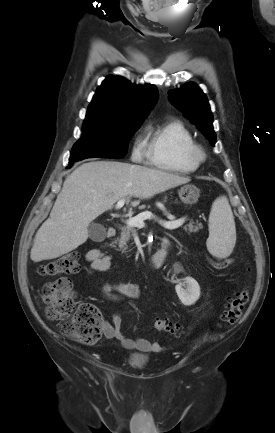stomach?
Segmentation results:
<instances>
[{
  "label": "stomach",
  "mask_w": 275,
  "mask_h": 433,
  "mask_svg": "<svg viewBox=\"0 0 275 433\" xmlns=\"http://www.w3.org/2000/svg\"><path fill=\"white\" fill-rule=\"evenodd\" d=\"M178 194L183 203L192 205L198 201L200 190L194 185H184Z\"/></svg>",
  "instance_id": "1"
}]
</instances>
